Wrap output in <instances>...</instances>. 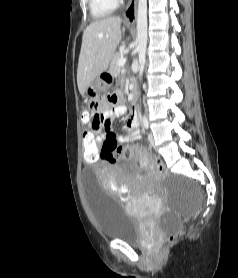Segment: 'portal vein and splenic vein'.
I'll return each mask as SVG.
<instances>
[{"instance_id": "18ae733b", "label": "portal vein and splenic vein", "mask_w": 238, "mask_h": 278, "mask_svg": "<svg viewBox=\"0 0 238 278\" xmlns=\"http://www.w3.org/2000/svg\"><path fill=\"white\" fill-rule=\"evenodd\" d=\"M126 57H122L119 61H118V66L119 67H123L126 63Z\"/></svg>"}]
</instances>
